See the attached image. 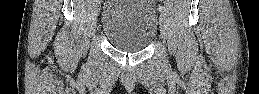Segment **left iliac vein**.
<instances>
[{"mask_svg":"<svg viewBox=\"0 0 259 94\" xmlns=\"http://www.w3.org/2000/svg\"><path fill=\"white\" fill-rule=\"evenodd\" d=\"M167 24H168V19L166 14L161 13L160 14V31L162 38L165 39L167 35Z\"/></svg>","mask_w":259,"mask_h":94,"instance_id":"obj_1","label":"left iliac vein"}]
</instances>
